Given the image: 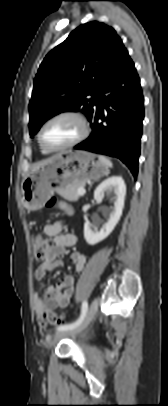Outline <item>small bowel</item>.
I'll list each match as a JSON object with an SVG mask.
<instances>
[{"label": "small bowel", "mask_w": 168, "mask_h": 406, "mask_svg": "<svg viewBox=\"0 0 168 406\" xmlns=\"http://www.w3.org/2000/svg\"><path fill=\"white\" fill-rule=\"evenodd\" d=\"M64 221H56L45 225L44 232L52 238L53 249L46 261H43L35 270L34 277L37 281L45 278L49 271L61 267V263L56 260L63 255L68 247L76 244L77 237L74 234L63 233ZM77 272H82L87 258L84 254L73 252L70 256ZM75 279L71 275H66L56 285L47 286L42 292L38 291L35 295V311L38 320L45 325L43 314L47 310L55 308H65L69 305L74 293Z\"/></svg>", "instance_id": "c3829d8e"}]
</instances>
